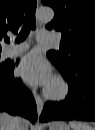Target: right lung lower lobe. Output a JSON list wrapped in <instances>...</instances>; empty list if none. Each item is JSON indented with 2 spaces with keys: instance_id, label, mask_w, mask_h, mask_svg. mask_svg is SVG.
<instances>
[{
  "instance_id": "1",
  "label": "right lung lower lobe",
  "mask_w": 95,
  "mask_h": 130,
  "mask_svg": "<svg viewBox=\"0 0 95 130\" xmlns=\"http://www.w3.org/2000/svg\"><path fill=\"white\" fill-rule=\"evenodd\" d=\"M13 70L14 64L0 72V111L24 116L34 123L37 119L35 100L21 80L14 78Z\"/></svg>"
}]
</instances>
